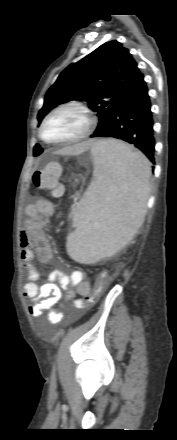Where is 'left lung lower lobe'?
<instances>
[{
  "label": "left lung lower lobe",
  "instance_id": "0a47b994",
  "mask_svg": "<svg viewBox=\"0 0 177 440\" xmlns=\"http://www.w3.org/2000/svg\"><path fill=\"white\" fill-rule=\"evenodd\" d=\"M148 89L142 75L116 111L90 137H112L124 140L155 164V139Z\"/></svg>",
  "mask_w": 177,
  "mask_h": 440
}]
</instances>
